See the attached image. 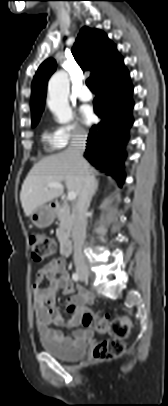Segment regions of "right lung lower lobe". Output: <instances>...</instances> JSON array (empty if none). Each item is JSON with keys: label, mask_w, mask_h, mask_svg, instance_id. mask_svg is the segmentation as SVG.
I'll list each match as a JSON object with an SVG mask.
<instances>
[{"label": "right lung lower lobe", "mask_w": 168, "mask_h": 406, "mask_svg": "<svg viewBox=\"0 0 168 406\" xmlns=\"http://www.w3.org/2000/svg\"><path fill=\"white\" fill-rule=\"evenodd\" d=\"M94 111L101 122L90 130L84 157L94 166L106 170L122 185L123 161L128 129L133 123V86L124 66L96 84Z\"/></svg>", "instance_id": "98d812e1"}]
</instances>
